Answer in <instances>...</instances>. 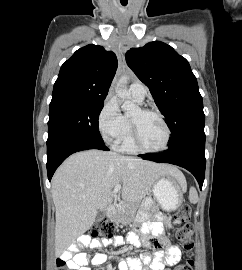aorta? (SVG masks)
I'll return each mask as SVG.
<instances>
[{"label":"aorta","mask_w":242,"mask_h":270,"mask_svg":"<svg viewBox=\"0 0 242 270\" xmlns=\"http://www.w3.org/2000/svg\"><path fill=\"white\" fill-rule=\"evenodd\" d=\"M127 82H128L127 76L120 77L116 87V94L123 101L122 104L123 111H125L126 113H134L139 110V107L135 105L134 102H132L129 98V93L126 88Z\"/></svg>","instance_id":"obj_1"}]
</instances>
